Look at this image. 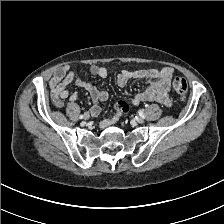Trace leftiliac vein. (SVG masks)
Masks as SVG:
<instances>
[{"label": "left iliac vein", "instance_id": "left-iliac-vein-1", "mask_svg": "<svg viewBox=\"0 0 224 224\" xmlns=\"http://www.w3.org/2000/svg\"><path fill=\"white\" fill-rule=\"evenodd\" d=\"M137 122L139 124H143L144 123V118H141V117L137 118Z\"/></svg>", "mask_w": 224, "mask_h": 224}]
</instances>
